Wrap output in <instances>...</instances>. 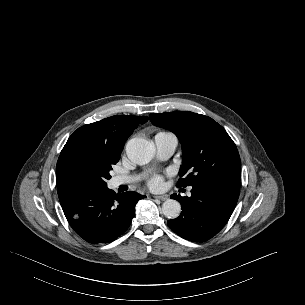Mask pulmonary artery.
<instances>
[{
    "label": "pulmonary artery",
    "mask_w": 305,
    "mask_h": 305,
    "mask_svg": "<svg viewBox=\"0 0 305 305\" xmlns=\"http://www.w3.org/2000/svg\"><path fill=\"white\" fill-rule=\"evenodd\" d=\"M154 143L157 156L163 160L171 157L177 146L176 137L170 133H158L154 138ZM138 178L139 176H116L113 178V185L119 186L132 183Z\"/></svg>",
    "instance_id": "e3ab8cb5"
}]
</instances>
